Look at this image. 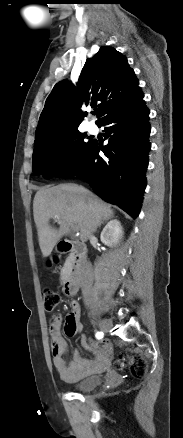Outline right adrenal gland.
Listing matches in <instances>:
<instances>
[{"label": "right adrenal gland", "mask_w": 183, "mask_h": 438, "mask_svg": "<svg viewBox=\"0 0 183 438\" xmlns=\"http://www.w3.org/2000/svg\"><path fill=\"white\" fill-rule=\"evenodd\" d=\"M109 219H104V220H102V222H100V224L98 225V227H100L101 226V224H104L105 222H107Z\"/></svg>", "instance_id": "right-adrenal-gland-1"}]
</instances>
